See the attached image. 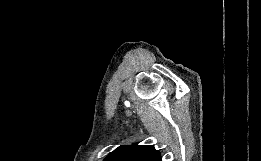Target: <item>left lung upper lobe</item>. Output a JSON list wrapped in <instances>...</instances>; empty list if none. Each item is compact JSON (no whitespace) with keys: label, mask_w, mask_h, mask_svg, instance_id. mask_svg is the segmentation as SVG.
<instances>
[{"label":"left lung upper lobe","mask_w":261,"mask_h":161,"mask_svg":"<svg viewBox=\"0 0 261 161\" xmlns=\"http://www.w3.org/2000/svg\"><path fill=\"white\" fill-rule=\"evenodd\" d=\"M160 153L152 145H121L104 161H158Z\"/></svg>","instance_id":"obj_1"}]
</instances>
